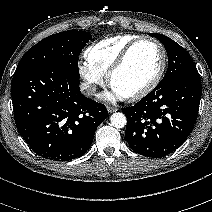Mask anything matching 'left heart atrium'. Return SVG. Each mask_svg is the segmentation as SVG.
Instances as JSON below:
<instances>
[{"instance_id":"obj_1","label":"left heart atrium","mask_w":212,"mask_h":212,"mask_svg":"<svg viewBox=\"0 0 212 212\" xmlns=\"http://www.w3.org/2000/svg\"><path fill=\"white\" fill-rule=\"evenodd\" d=\"M107 98L111 99V100H115V99H123L125 98L124 95L120 94L119 92H117L115 89L112 88V91L107 93Z\"/></svg>"}]
</instances>
